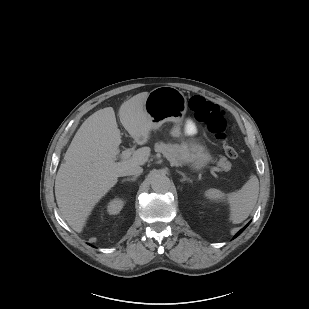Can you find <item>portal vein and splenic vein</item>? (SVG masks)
I'll return each instance as SVG.
<instances>
[{"label": "portal vein and splenic vein", "instance_id": "obj_1", "mask_svg": "<svg viewBox=\"0 0 309 309\" xmlns=\"http://www.w3.org/2000/svg\"><path fill=\"white\" fill-rule=\"evenodd\" d=\"M130 155H131V152L129 150H125L122 152L121 157L123 159H128ZM210 169L215 172H221V169L215 166L210 167Z\"/></svg>", "mask_w": 309, "mask_h": 309}]
</instances>
